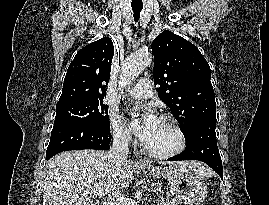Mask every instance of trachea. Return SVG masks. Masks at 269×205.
Returning a JSON list of instances; mask_svg holds the SVG:
<instances>
[{"label":"trachea","instance_id":"1","mask_svg":"<svg viewBox=\"0 0 269 205\" xmlns=\"http://www.w3.org/2000/svg\"><path fill=\"white\" fill-rule=\"evenodd\" d=\"M132 10L134 13V20L135 22H138L139 18H140V12L143 9V5H132Z\"/></svg>","mask_w":269,"mask_h":205}]
</instances>
